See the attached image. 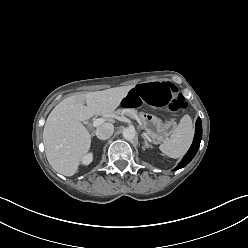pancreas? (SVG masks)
Segmentation results:
<instances>
[{
  "instance_id": "obj_1",
  "label": "pancreas",
  "mask_w": 248,
  "mask_h": 248,
  "mask_svg": "<svg viewBox=\"0 0 248 248\" xmlns=\"http://www.w3.org/2000/svg\"><path fill=\"white\" fill-rule=\"evenodd\" d=\"M117 113H122L130 116L131 118H134L137 116L136 111H126V110H118Z\"/></svg>"
}]
</instances>
